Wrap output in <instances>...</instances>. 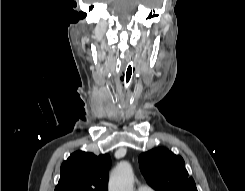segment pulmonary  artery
<instances>
[{"instance_id": "pulmonary-artery-1", "label": "pulmonary artery", "mask_w": 245, "mask_h": 191, "mask_svg": "<svg viewBox=\"0 0 245 191\" xmlns=\"http://www.w3.org/2000/svg\"><path fill=\"white\" fill-rule=\"evenodd\" d=\"M136 191H154V190L147 185H140L138 186Z\"/></svg>"}]
</instances>
